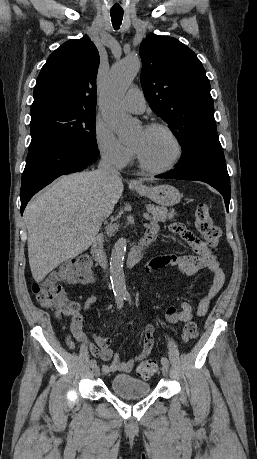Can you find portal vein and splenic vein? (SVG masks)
Here are the masks:
<instances>
[{
    "instance_id": "1",
    "label": "portal vein and splenic vein",
    "mask_w": 257,
    "mask_h": 459,
    "mask_svg": "<svg viewBox=\"0 0 257 459\" xmlns=\"http://www.w3.org/2000/svg\"><path fill=\"white\" fill-rule=\"evenodd\" d=\"M143 217L145 220H150L151 216L148 213H143Z\"/></svg>"
}]
</instances>
